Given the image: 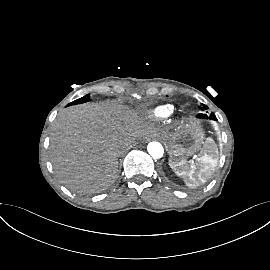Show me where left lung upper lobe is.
<instances>
[{"instance_id":"1","label":"left lung upper lobe","mask_w":270,"mask_h":270,"mask_svg":"<svg viewBox=\"0 0 270 270\" xmlns=\"http://www.w3.org/2000/svg\"><path fill=\"white\" fill-rule=\"evenodd\" d=\"M204 109H207L208 107L206 105H203ZM197 117H200V115L198 114Z\"/></svg>"}]
</instances>
